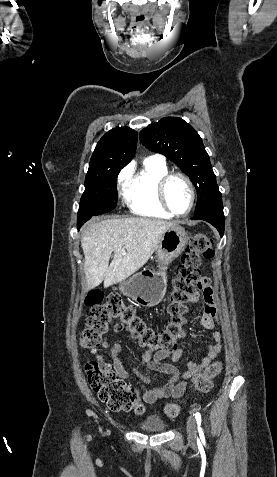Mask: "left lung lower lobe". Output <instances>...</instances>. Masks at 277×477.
<instances>
[{"instance_id": "obj_1", "label": "left lung lower lobe", "mask_w": 277, "mask_h": 477, "mask_svg": "<svg viewBox=\"0 0 277 477\" xmlns=\"http://www.w3.org/2000/svg\"><path fill=\"white\" fill-rule=\"evenodd\" d=\"M193 220H204L211 223L214 227L217 228L220 235L223 236L224 233V225H225V217L223 213V204L222 200L220 202L215 203L206 211L194 215L192 218Z\"/></svg>"}]
</instances>
